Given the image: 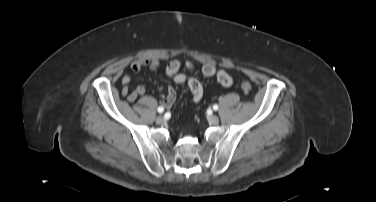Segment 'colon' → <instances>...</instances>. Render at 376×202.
<instances>
[{"label":"colon","mask_w":376,"mask_h":202,"mask_svg":"<svg viewBox=\"0 0 376 202\" xmlns=\"http://www.w3.org/2000/svg\"><path fill=\"white\" fill-rule=\"evenodd\" d=\"M241 88H242L244 93H250L252 91V85H251V83H249L247 81H244L241 84Z\"/></svg>","instance_id":"1"}]
</instances>
